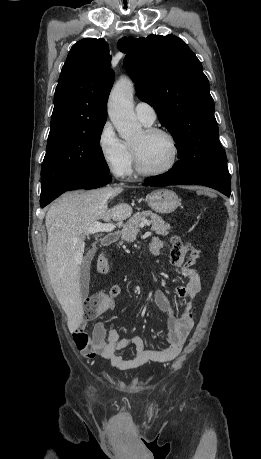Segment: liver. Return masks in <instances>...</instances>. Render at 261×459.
<instances>
[{
    "label": "liver",
    "mask_w": 261,
    "mask_h": 459,
    "mask_svg": "<svg viewBox=\"0 0 261 459\" xmlns=\"http://www.w3.org/2000/svg\"><path fill=\"white\" fill-rule=\"evenodd\" d=\"M122 191L121 187H104L87 192H69L57 200L46 214L47 270L54 292L67 315L70 332L80 326L84 314L79 270L87 229L99 220L121 221L132 214V208L127 203L108 209V201Z\"/></svg>",
    "instance_id": "obj_1"
}]
</instances>
